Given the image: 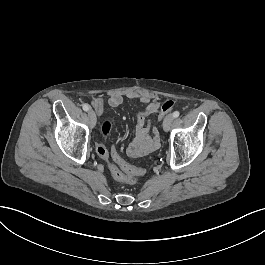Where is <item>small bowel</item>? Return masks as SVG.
Segmentation results:
<instances>
[{
    "mask_svg": "<svg viewBox=\"0 0 265 265\" xmlns=\"http://www.w3.org/2000/svg\"><path fill=\"white\" fill-rule=\"evenodd\" d=\"M127 98L139 99V101L145 105V109L137 116L138 135L127 150L130 156L141 157L155 151L159 147V137L154 131V128L150 125L148 119L158 112L160 104L148 94L139 95L137 93H128ZM123 99L122 94L119 92H112L108 98V105L111 107H118L123 103ZM93 104L96 107L97 112L103 111L101 98H96L93 101ZM105 161H107L110 170L116 167L109 162V158Z\"/></svg>",
    "mask_w": 265,
    "mask_h": 265,
    "instance_id": "c3829d8e",
    "label": "small bowel"
}]
</instances>
